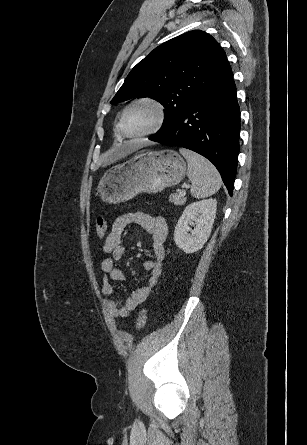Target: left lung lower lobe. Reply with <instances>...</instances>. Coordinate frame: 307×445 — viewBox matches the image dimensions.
<instances>
[{
  "label": "left lung lower lobe",
  "instance_id": "left-lung-lower-lobe-1",
  "mask_svg": "<svg viewBox=\"0 0 307 445\" xmlns=\"http://www.w3.org/2000/svg\"><path fill=\"white\" fill-rule=\"evenodd\" d=\"M240 109L232 70L150 140L193 150L218 169L232 196L239 153Z\"/></svg>",
  "mask_w": 307,
  "mask_h": 445
}]
</instances>
